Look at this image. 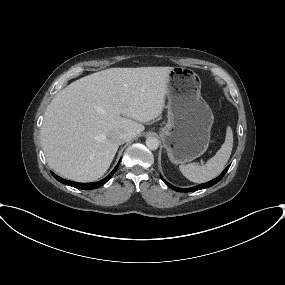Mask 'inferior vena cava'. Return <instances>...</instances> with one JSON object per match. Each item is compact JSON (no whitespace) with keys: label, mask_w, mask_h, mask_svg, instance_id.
Returning <instances> with one entry per match:
<instances>
[{"label":"inferior vena cava","mask_w":285,"mask_h":285,"mask_svg":"<svg viewBox=\"0 0 285 285\" xmlns=\"http://www.w3.org/2000/svg\"><path fill=\"white\" fill-rule=\"evenodd\" d=\"M111 138L116 144L120 145V144H123L124 142L128 141L130 136L128 133H126L122 130H116L112 133Z\"/></svg>","instance_id":"1"}]
</instances>
